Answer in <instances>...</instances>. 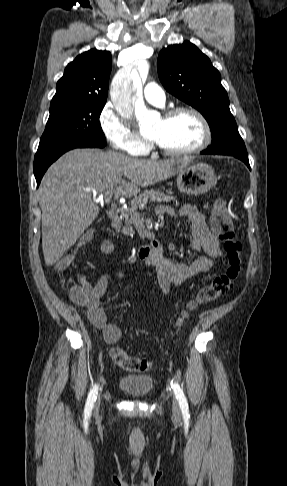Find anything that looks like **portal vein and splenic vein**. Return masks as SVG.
<instances>
[{
    "label": "portal vein and splenic vein",
    "mask_w": 287,
    "mask_h": 486,
    "mask_svg": "<svg viewBox=\"0 0 287 486\" xmlns=\"http://www.w3.org/2000/svg\"><path fill=\"white\" fill-rule=\"evenodd\" d=\"M113 193H114L113 190L105 192L104 199H105L106 203H110L112 196H113Z\"/></svg>",
    "instance_id": "portal-vein-and-splenic-vein-1"
}]
</instances>
